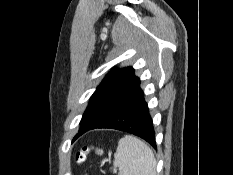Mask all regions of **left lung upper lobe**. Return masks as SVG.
Masks as SVG:
<instances>
[{
    "label": "left lung upper lobe",
    "mask_w": 233,
    "mask_h": 175,
    "mask_svg": "<svg viewBox=\"0 0 233 175\" xmlns=\"http://www.w3.org/2000/svg\"><path fill=\"white\" fill-rule=\"evenodd\" d=\"M138 80L132 67L112 70L91 96L90 103L81 119L78 134L102 117L117 99Z\"/></svg>",
    "instance_id": "left-lung-upper-lobe-1"
}]
</instances>
